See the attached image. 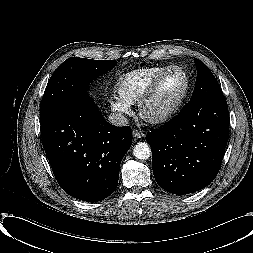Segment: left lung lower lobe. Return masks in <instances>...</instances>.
I'll return each instance as SVG.
<instances>
[{
  "label": "left lung lower lobe",
  "instance_id": "left-lung-lower-lobe-1",
  "mask_svg": "<svg viewBox=\"0 0 253 253\" xmlns=\"http://www.w3.org/2000/svg\"><path fill=\"white\" fill-rule=\"evenodd\" d=\"M228 138L224 95L206 105L189 102L176 118L146 136L152 149L155 180L177 195L203 189L221 167Z\"/></svg>",
  "mask_w": 253,
  "mask_h": 253
}]
</instances>
